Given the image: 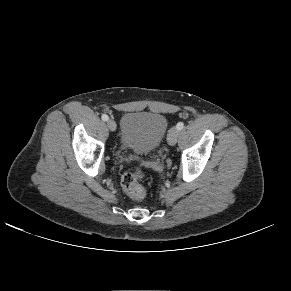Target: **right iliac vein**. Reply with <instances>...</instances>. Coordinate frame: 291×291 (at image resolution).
<instances>
[{"label": "right iliac vein", "mask_w": 291, "mask_h": 291, "mask_svg": "<svg viewBox=\"0 0 291 291\" xmlns=\"http://www.w3.org/2000/svg\"><path fill=\"white\" fill-rule=\"evenodd\" d=\"M107 126L111 131H115L116 130V123L114 120L110 119L107 121Z\"/></svg>", "instance_id": "63e3f726"}]
</instances>
